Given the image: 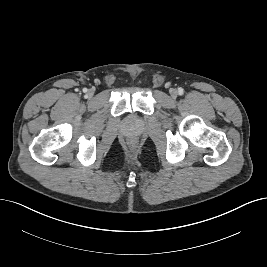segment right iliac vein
I'll list each match as a JSON object with an SVG mask.
<instances>
[{"label": "right iliac vein", "mask_w": 267, "mask_h": 267, "mask_svg": "<svg viewBox=\"0 0 267 267\" xmlns=\"http://www.w3.org/2000/svg\"><path fill=\"white\" fill-rule=\"evenodd\" d=\"M88 96H89V97L93 96V91H92V90H89V91H88Z\"/></svg>", "instance_id": "1"}]
</instances>
